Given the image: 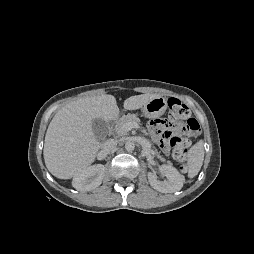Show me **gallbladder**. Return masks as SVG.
<instances>
[{"label": "gallbladder", "mask_w": 254, "mask_h": 254, "mask_svg": "<svg viewBox=\"0 0 254 254\" xmlns=\"http://www.w3.org/2000/svg\"><path fill=\"white\" fill-rule=\"evenodd\" d=\"M92 129L95 137L100 140L107 133V124L104 120L97 118L92 121Z\"/></svg>", "instance_id": "gallbladder-1"}]
</instances>
